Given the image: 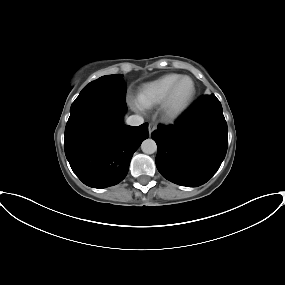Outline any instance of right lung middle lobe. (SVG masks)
Instances as JSON below:
<instances>
[{
    "label": "right lung middle lobe",
    "instance_id": "obj_1",
    "mask_svg": "<svg viewBox=\"0 0 285 285\" xmlns=\"http://www.w3.org/2000/svg\"><path fill=\"white\" fill-rule=\"evenodd\" d=\"M112 94L125 97L126 88L121 74L102 76L86 85L71 105L70 112L89 98Z\"/></svg>",
    "mask_w": 285,
    "mask_h": 285
}]
</instances>
